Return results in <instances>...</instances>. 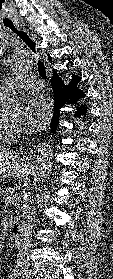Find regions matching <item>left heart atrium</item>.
Returning a JSON list of instances; mask_svg holds the SVG:
<instances>
[{
    "mask_svg": "<svg viewBox=\"0 0 113 279\" xmlns=\"http://www.w3.org/2000/svg\"><path fill=\"white\" fill-rule=\"evenodd\" d=\"M51 117V103L43 96H36L26 110L25 122L33 130L45 127Z\"/></svg>",
    "mask_w": 113,
    "mask_h": 279,
    "instance_id": "left-heart-atrium-1",
    "label": "left heart atrium"
}]
</instances>
